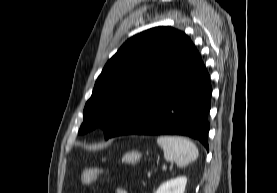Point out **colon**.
<instances>
[{"mask_svg": "<svg viewBox=\"0 0 277 193\" xmlns=\"http://www.w3.org/2000/svg\"><path fill=\"white\" fill-rule=\"evenodd\" d=\"M101 174L102 171L99 169H85L81 174V182L85 185H89L95 182Z\"/></svg>", "mask_w": 277, "mask_h": 193, "instance_id": "colon-1", "label": "colon"}]
</instances>
